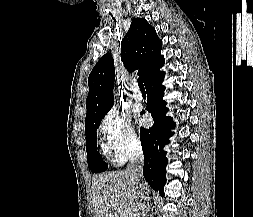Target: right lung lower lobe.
<instances>
[{"label":"right lung lower lobe","mask_w":253,"mask_h":217,"mask_svg":"<svg viewBox=\"0 0 253 217\" xmlns=\"http://www.w3.org/2000/svg\"><path fill=\"white\" fill-rule=\"evenodd\" d=\"M164 72H157L146 82L147 106L146 110L151 113L154 124L149 129L140 128V140L144 153L143 175L149 185L164 196L166 183L167 158L164 146L169 143L173 135L170 129L174 127L171 117H166L168 111L166 102L162 100L165 86L162 85ZM145 111H142L143 114Z\"/></svg>","instance_id":"right-lung-lower-lobe-1"}]
</instances>
